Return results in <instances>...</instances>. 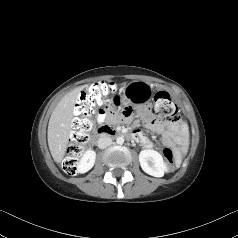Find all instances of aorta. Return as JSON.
Here are the masks:
<instances>
[{
    "mask_svg": "<svg viewBox=\"0 0 238 238\" xmlns=\"http://www.w3.org/2000/svg\"><path fill=\"white\" fill-rule=\"evenodd\" d=\"M116 143L119 145H122L124 143V138L122 136H119L116 138Z\"/></svg>",
    "mask_w": 238,
    "mask_h": 238,
    "instance_id": "aorta-1",
    "label": "aorta"
}]
</instances>
